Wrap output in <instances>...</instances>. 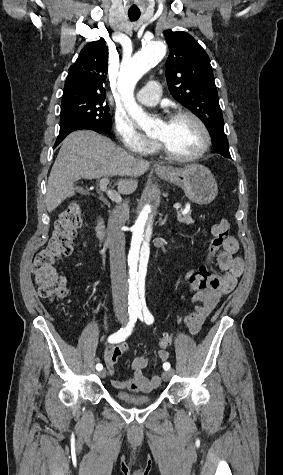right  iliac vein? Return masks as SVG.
I'll return each instance as SVG.
<instances>
[{
	"label": "right iliac vein",
	"mask_w": 283,
	"mask_h": 475,
	"mask_svg": "<svg viewBox=\"0 0 283 475\" xmlns=\"http://www.w3.org/2000/svg\"><path fill=\"white\" fill-rule=\"evenodd\" d=\"M124 322V321H123ZM100 377H105L106 376V369L102 370L101 372L98 373Z\"/></svg>",
	"instance_id": "right-iliac-vein-1"
}]
</instances>
